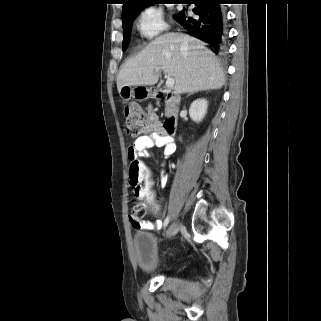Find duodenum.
I'll return each mask as SVG.
<instances>
[{"label":"duodenum","mask_w":321,"mask_h":321,"mask_svg":"<svg viewBox=\"0 0 321 321\" xmlns=\"http://www.w3.org/2000/svg\"><path fill=\"white\" fill-rule=\"evenodd\" d=\"M156 97L159 100L167 101L173 105L178 103V98L171 92L166 90H159L156 93ZM164 131L167 135L171 136L175 133L176 130V116H170L163 125Z\"/></svg>","instance_id":"1"}]
</instances>
